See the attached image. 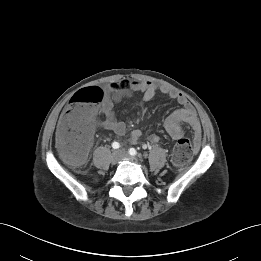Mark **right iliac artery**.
Segmentation results:
<instances>
[{"mask_svg":"<svg viewBox=\"0 0 261 261\" xmlns=\"http://www.w3.org/2000/svg\"><path fill=\"white\" fill-rule=\"evenodd\" d=\"M112 147H113L114 149H118V148H120V144H119L118 142H113V143H112Z\"/></svg>","mask_w":261,"mask_h":261,"instance_id":"right-iliac-artery-1","label":"right iliac artery"}]
</instances>
